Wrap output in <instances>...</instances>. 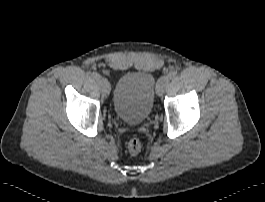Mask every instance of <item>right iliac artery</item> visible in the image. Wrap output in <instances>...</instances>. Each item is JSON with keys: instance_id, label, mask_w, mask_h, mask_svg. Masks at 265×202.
Returning <instances> with one entry per match:
<instances>
[{"instance_id": "obj_1", "label": "right iliac artery", "mask_w": 265, "mask_h": 202, "mask_svg": "<svg viewBox=\"0 0 265 202\" xmlns=\"http://www.w3.org/2000/svg\"><path fill=\"white\" fill-rule=\"evenodd\" d=\"M90 76L94 80H98L100 78V75L97 72H91Z\"/></svg>"}]
</instances>
